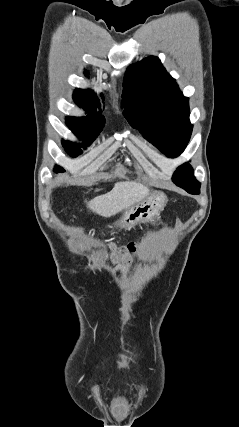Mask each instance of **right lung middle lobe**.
I'll return each mask as SVG.
<instances>
[{"mask_svg": "<svg viewBox=\"0 0 239 427\" xmlns=\"http://www.w3.org/2000/svg\"><path fill=\"white\" fill-rule=\"evenodd\" d=\"M105 118L103 116H90L86 117H67L66 124L72 132L84 141L82 147H86L90 142H93L100 131L103 129ZM63 146L67 153L73 157L82 153L81 146L69 141H64ZM56 172L64 171L63 168L58 166L55 168Z\"/></svg>", "mask_w": 239, "mask_h": 427, "instance_id": "dd1d6c3e", "label": "right lung middle lobe"}]
</instances>
